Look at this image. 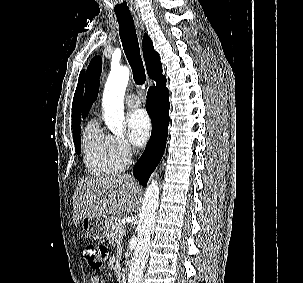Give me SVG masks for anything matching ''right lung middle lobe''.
I'll list each match as a JSON object with an SVG mask.
<instances>
[{
    "label": "right lung middle lobe",
    "instance_id": "dd1d6c3e",
    "mask_svg": "<svg viewBox=\"0 0 303 283\" xmlns=\"http://www.w3.org/2000/svg\"><path fill=\"white\" fill-rule=\"evenodd\" d=\"M80 133H81L80 125L73 127V138H74V144H75V149H76L77 154H80V151H81Z\"/></svg>",
    "mask_w": 303,
    "mask_h": 283
}]
</instances>
